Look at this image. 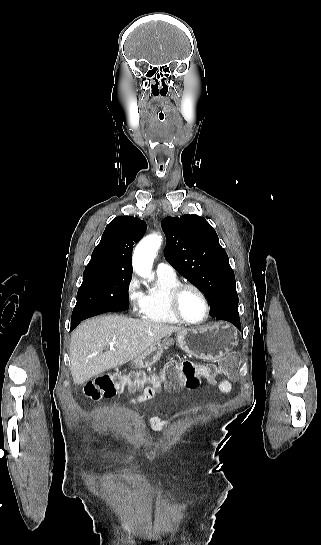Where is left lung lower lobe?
Segmentation results:
<instances>
[{
	"label": "left lung lower lobe",
	"mask_w": 321,
	"mask_h": 545,
	"mask_svg": "<svg viewBox=\"0 0 321 545\" xmlns=\"http://www.w3.org/2000/svg\"><path fill=\"white\" fill-rule=\"evenodd\" d=\"M211 317L217 320H226L234 324L239 330H241L238 304L229 305L218 311H211Z\"/></svg>",
	"instance_id": "obj_1"
}]
</instances>
